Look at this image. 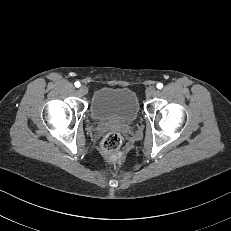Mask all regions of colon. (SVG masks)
<instances>
[{"label": "colon", "mask_w": 231, "mask_h": 231, "mask_svg": "<svg viewBox=\"0 0 231 231\" xmlns=\"http://www.w3.org/2000/svg\"><path fill=\"white\" fill-rule=\"evenodd\" d=\"M121 146L122 136L117 132H110L101 142V152L108 161H118L124 158Z\"/></svg>", "instance_id": "1"}]
</instances>
